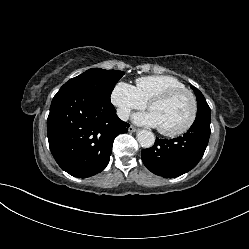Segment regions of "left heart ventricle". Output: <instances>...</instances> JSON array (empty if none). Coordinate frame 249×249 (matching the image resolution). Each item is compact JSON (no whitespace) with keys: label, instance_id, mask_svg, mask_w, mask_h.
Wrapping results in <instances>:
<instances>
[{"label":"left heart ventricle","instance_id":"b2bd125f","mask_svg":"<svg viewBox=\"0 0 249 249\" xmlns=\"http://www.w3.org/2000/svg\"><path fill=\"white\" fill-rule=\"evenodd\" d=\"M191 100L187 95H180L170 101L158 103L151 112L158 121V127L173 131L183 127L191 114Z\"/></svg>","mask_w":249,"mask_h":249}]
</instances>
